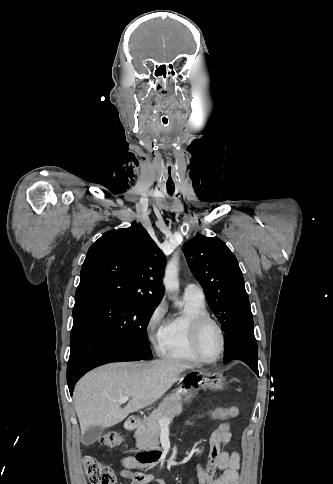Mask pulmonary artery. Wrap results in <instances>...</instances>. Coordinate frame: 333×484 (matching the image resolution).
<instances>
[{
    "mask_svg": "<svg viewBox=\"0 0 333 484\" xmlns=\"http://www.w3.org/2000/svg\"><path fill=\"white\" fill-rule=\"evenodd\" d=\"M184 296L204 299V292L198 284L190 283L184 289Z\"/></svg>",
    "mask_w": 333,
    "mask_h": 484,
    "instance_id": "pulmonary-artery-1",
    "label": "pulmonary artery"
}]
</instances>
